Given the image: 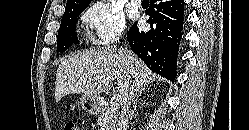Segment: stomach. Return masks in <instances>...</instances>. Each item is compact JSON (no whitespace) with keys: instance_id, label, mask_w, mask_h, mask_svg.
I'll return each mask as SVG.
<instances>
[{"instance_id":"1","label":"stomach","mask_w":249,"mask_h":130,"mask_svg":"<svg viewBox=\"0 0 249 130\" xmlns=\"http://www.w3.org/2000/svg\"><path fill=\"white\" fill-rule=\"evenodd\" d=\"M81 109L89 114H96L100 109V100L97 96L82 95L78 100Z\"/></svg>"}]
</instances>
